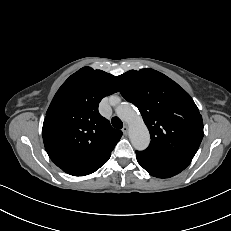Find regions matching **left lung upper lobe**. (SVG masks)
Segmentation results:
<instances>
[{
	"mask_svg": "<svg viewBox=\"0 0 231 231\" xmlns=\"http://www.w3.org/2000/svg\"><path fill=\"white\" fill-rule=\"evenodd\" d=\"M120 93L140 111L151 142L141 153L149 158L188 166L203 138V121L190 95L166 75L131 70L116 77Z\"/></svg>",
	"mask_w": 231,
	"mask_h": 231,
	"instance_id": "left-lung-upper-lobe-1",
	"label": "left lung upper lobe"
}]
</instances>
